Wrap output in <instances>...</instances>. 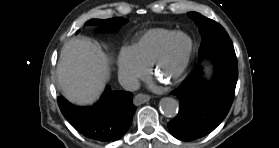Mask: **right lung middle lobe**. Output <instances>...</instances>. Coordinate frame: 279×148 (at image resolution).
<instances>
[{"label": "right lung middle lobe", "instance_id": "right-lung-middle-lobe-1", "mask_svg": "<svg viewBox=\"0 0 279 148\" xmlns=\"http://www.w3.org/2000/svg\"><path fill=\"white\" fill-rule=\"evenodd\" d=\"M127 22L124 18L115 17L112 19H92L85 23V25L105 26L108 30L115 31Z\"/></svg>", "mask_w": 279, "mask_h": 148}]
</instances>
